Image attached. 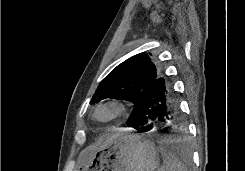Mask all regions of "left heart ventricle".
<instances>
[{
    "label": "left heart ventricle",
    "instance_id": "left-heart-ventricle-1",
    "mask_svg": "<svg viewBox=\"0 0 245 171\" xmlns=\"http://www.w3.org/2000/svg\"><path fill=\"white\" fill-rule=\"evenodd\" d=\"M112 114L111 109H103L99 112V117L100 118H107Z\"/></svg>",
    "mask_w": 245,
    "mask_h": 171
}]
</instances>
